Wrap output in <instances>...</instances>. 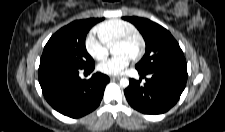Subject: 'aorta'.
Returning a JSON list of instances; mask_svg holds the SVG:
<instances>
[{
    "mask_svg": "<svg viewBox=\"0 0 225 132\" xmlns=\"http://www.w3.org/2000/svg\"><path fill=\"white\" fill-rule=\"evenodd\" d=\"M120 86L122 88H126L129 86V80L127 78H121L120 79Z\"/></svg>",
    "mask_w": 225,
    "mask_h": 132,
    "instance_id": "762f6f07",
    "label": "aorta"
}]
</instances>
